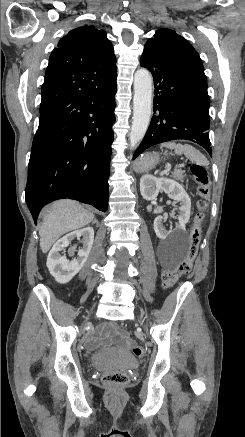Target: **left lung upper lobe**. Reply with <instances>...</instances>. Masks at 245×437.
Masks as SVG:
<instances>
[{"label":"left lung upper lobe","instance_id":"obj_1","mask_svg":"<svg viewBox=\"0 0 245 437\" xmlns=\"http://www.w3.org/2000/svg\"><path fill=\"white\" fill-rule=\"evenodd\" d=\"M144 50L156 53L163 59L195 72L206 79L199 54L192 45L170 29H159L149 39Z\"/></svg>","mask_w":245,"mask_h":437}]
</instances>
